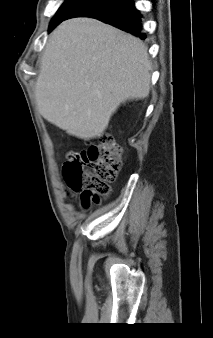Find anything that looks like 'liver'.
<instances>
[{
  "instance_id": "1",
  "label": "liver",
  "mask_w": 213,
  "mask_h": 338,
  "mask_svg": "<svg viewBox=\"0 0 213 338\" xmlns=\"http://www.w3.org/2000/svg\"><path fill=\"white\" fill-rule=\"evenodd\" d=\"M150 71L147 47L138 38L95 19L64 21L41 58L38 111L70 135L96 138L121 103L148 96Z\"/></svg>"
}]
</instances>
